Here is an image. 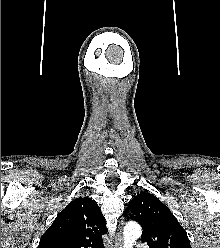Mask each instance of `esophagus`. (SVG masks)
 <instances>
[{"instance_id":"1","label":"esophagus","mask_w":220,"mask_h":248,"mask_svg":"<svg viewBox=\"0 0 220 248\" xmlns=\"http://www.w3.org/2000/svg\"><path fill=\"white\" fill-rule=\"evenodd\" d=\"M122 224H123V221H120L119 228H121ZM122 239L123 238H122V233L120 229L116 234L115 243L112 248H122V245H123Z\"/></svg>"}]
</instances>
